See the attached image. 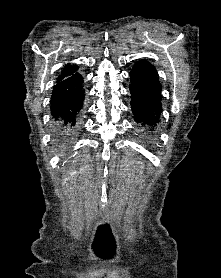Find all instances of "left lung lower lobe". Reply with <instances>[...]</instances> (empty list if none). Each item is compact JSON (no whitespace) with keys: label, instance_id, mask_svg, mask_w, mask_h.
Instances as JSON below:
<instances>
[{"label":"left lung lower lobe","instance_id":"0a47b994","mask_svg":"<svg viewBox=\"0 0 221 278\" xmlns=\"http://www.w3.org/2000/svg\"><path fill=\"white\" fill-rule=\"evenodd\" d=\"M131 108L142 131L150 134L160 122L161 85L155 67L145 60L137 61L130 72Z\"/></svg>","mask_w":221,"mask_h":278}]
</instances>
